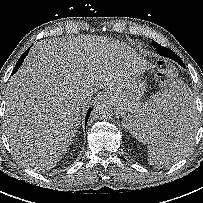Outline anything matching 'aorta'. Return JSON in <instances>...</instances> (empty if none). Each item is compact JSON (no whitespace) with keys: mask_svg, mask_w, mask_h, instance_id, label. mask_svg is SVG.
Wrapping results in <instances>:
<instances>
[{"mask_svg":"<svg viewBox=\"0 0 203 203\" xmlns=\"http://www.w3.org/2000/svg\"><path fill=\"white\" fill-rule=\"evenodd\" d=\"M93 112L97 118L107 120L113 116V107L108 102H99L94 106Z\"/></svg>","mask_w":203,"mask_h":203,"instance_id":"obj_1","label":"aorta"}]
</instances>
